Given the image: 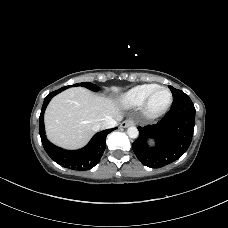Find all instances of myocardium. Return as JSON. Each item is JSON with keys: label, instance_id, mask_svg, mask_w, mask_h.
Returning a JSON list of instances; mask_svg holds the SVG:
<instances>
[{"label": "myocardium", "instance_id": "obj_1", "mask_svg": "<svg viewBox=\"0 0 228 228\" xmlns=\"http://www.w3.org/2000/svg\"><path fill=\"white\" fill-rule=\"evenodd\" d=\"M161 89L167 90L169 92L170 100L163 109H161L159 111H152L150 109V102H151L153 96L155 95V93ZM172 103H173V94H172L171 90L166 86H158L146 97V99L142 103L141 114L147 120H155V119L163 116L164 114H166L168 112V110L170 109V107L172 106Z\"/></svg>", "mask_w": 228, "mask_h": 228}]
</instances>
